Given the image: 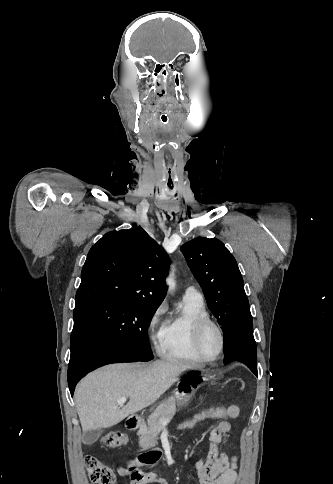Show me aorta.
Returning a JSON list of instances; mask_svg holds the SVG:
<instances>
[{"label":"aorta","instance_id":"obj_1","mask_svg":"<svg viewBox=\"0 0 333 484\" xmlns=\"http://www.w3.org/2000/svg\"><path fill=\"white\" fill-rule=\"evenodd\" d=\"M166 284L169 289H175L176 287L174 267H171L169 271L168 277L166 279Z\"/></svg>","mask_w":333,"mask_h":484}]
</instances>
